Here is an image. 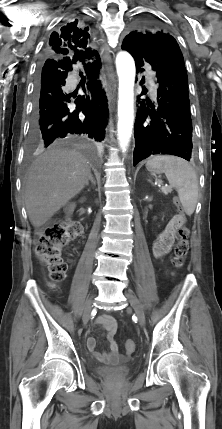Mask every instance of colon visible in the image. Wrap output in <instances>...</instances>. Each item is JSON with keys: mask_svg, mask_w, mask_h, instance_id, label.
I'll use <instances>...</instances> for the list:
<instances>
[{"mask_svg": "<svg viewBox=\"0 0 222 429\" xmlns=\"http://www.w3.org/2000/svg\"><path fill=\"white\" fill-rule=\"evenodd\" d=\"M174 204L183 221L182 226L177 230L173 257L174 266L180 268L184 265L189 249V230L184 225L185 215L178 198L174 199ZM79 230L80 226L78 223L65 219L48 227L39 237L36 253L48 269L53 284L61 282L66 276L67 264L62 257V249L78 235ZM135 348L136 345L133 340L125 342L127 353H133Z\"/></svg>", "mask_w": 222, "mask_h": 429, "instance_id": "obj_1", "label": "colon"}]
</instances>
